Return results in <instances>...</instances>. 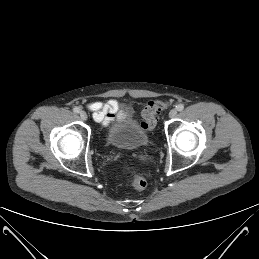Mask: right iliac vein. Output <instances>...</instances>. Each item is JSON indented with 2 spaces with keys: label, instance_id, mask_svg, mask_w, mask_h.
<instances>
[{
  "label": "right iliac vein",
  "instance_id": "63e3f726",
  "mask_svg": "<svg viewBox=\"0 0 259 259\" xmlns=\"http://www.w3.org/2000/svg\"><path fill=\"white\" fill-rule=\"evenodd\" d=\"M79 115H80V118H81L83 121H86L87 118H88L86 112H84V111H81Z\"/></svg>",
  "mask_w": 259,
  "mask_h": 259
}]
</instances>
